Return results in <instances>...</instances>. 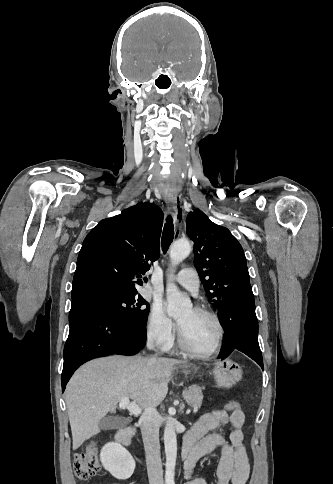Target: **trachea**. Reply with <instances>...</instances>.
Listing matches in <instances>:
<instances>
[{"label": "trachea", "mask_w": 333, "mask_h": 484, "mask_svg": "<svg viewBox=\"0 0 333 484\" xmlns=\"http://www.w3.org/2000/svg\"><path fill=\"white\" fill-rule=\"evenodd\" d=\"M178 234V232H177ZM176 234V236H177ZM175 232H174V225H173V219L171 216H168L166 219V223L163 228V234H162V239H161V246H162V251L164 253L167 252L170 244L173 241Z\"/></svg>", "instance_id": "trachea-1"}]
</instances>
